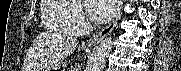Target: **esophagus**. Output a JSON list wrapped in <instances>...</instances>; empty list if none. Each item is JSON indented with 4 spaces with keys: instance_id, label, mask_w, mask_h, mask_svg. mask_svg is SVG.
I'll return each instance as SVG.
<instances>
[{
    "instance_id": "esophagus-1",
    "label": "esophagus",
    "mask_w": 181,
    "mask_h": 71,
    "mask_svg": "<svg viewBox=\"0 0 181 71\" xmlns=\"http://www.w3.org/2000/svg\"><path fill=\"white\" fill-rule=\"evenodd\" d=\"M121 7L118 9L116 17L107 25L105 26L98 34L91 37L87 44L88 46H95L98 44L101 40H103L117 25L118 21L121 18Z\"/></svg>"
}]
</instances>
